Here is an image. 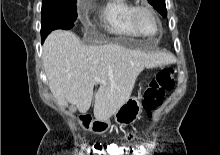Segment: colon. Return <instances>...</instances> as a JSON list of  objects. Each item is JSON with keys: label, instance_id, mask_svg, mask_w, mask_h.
I'll return each mask as SVG.
<instances>
[{"label": "colon", "instance_id": "1", "mask_svg": "<svg viewBox=\"0 0 220 155\" xmlns=\"http://www.w3.org/2000/svg\"><path fill=\"white\" fill-rule=\"evenodd\" d=\"M174 87V69L164 68L148 82L143 94V106L150 116L161 105L164 95ZM93 152L102 155H135L137 146H107L94 144Z\"/></svg>", "mask_w": 220, "mask_h": 155}]
</instances>
